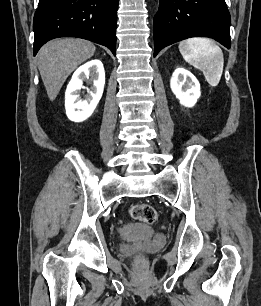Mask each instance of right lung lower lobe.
<instances>
[{
  "label": "right lung lower lobe",
  "instance_id": "98d812e1",
  "mask_svg": "<svg viewBox=\"0 0 261 306\" xmlns=\"http://www.w3.org/2000/svg\"><path fill=\"white\" fill-rule=\"evenodd\" d=\"M119 0H39L34 15V56L47 41L64 36L84 38L115 55Z\"/></svg>",
  "mask_w": 261,
  "mask_h": 306
}]
</instances>
